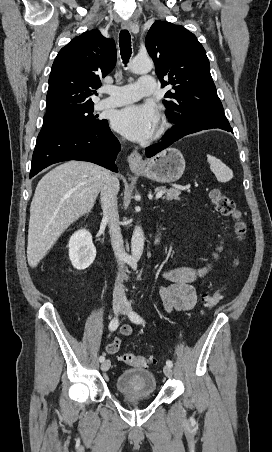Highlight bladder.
<instances>
[{
	"instance_id": "31cf9c89",
	"label": "bladder",
	"mask_w": 272,
	"mask_h": 452,
	"mask_svg": "<svg viewBox=\"0 0 272 452\" xmlns=\"http://www.w3.org/2000/svg\"><path fill=\"white\" fill-rule=\"evenodd\" d=\"M115 387L124 394L151 396L156 393L157 381L150 370L134 368L123 371L117 377Z\"/></svg>"
}]
</instances>
